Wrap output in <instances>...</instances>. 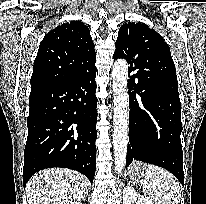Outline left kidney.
Listing matches in <instances>:
<instances>
[{"label": "left kidney", "mask_w": 206, "mask_h": 204, "mask_svg": "<svg viewBox=\"0 0 206 204\" xmlns=\"http://www.w3.org/2000/svg\"><path fill=\"white\" fill-rule=\"evenodd\" d=\"M123 204H154L148 197L137 194L133 187L123 189Z\"/></svg>", "instance_id": "obj_1"}]
</instances>
